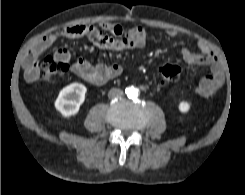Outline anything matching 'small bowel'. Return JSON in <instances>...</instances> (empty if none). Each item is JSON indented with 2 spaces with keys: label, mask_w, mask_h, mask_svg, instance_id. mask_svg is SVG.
I'll return each instance as SVG.
<instances>
[{
  "label": "small bowel",
  "mask_w": 245,
  "mask_h": 195,
  "mask_svg": "<svg viewBox=\"0 0 245 195\" xmlns=\"http://www.w3.org/2000/svg\"><path fill=\"white\" fill-rule=\"evenodd\" d=\"M168 35L175 37L177 32L170 30ZM60 37H88L96 46L116 51L143 48L147 41L146 32L141 27L124 30L121 25L116 23L67 26L58 32L45 35L27 52L23 59L24 74L27 81L33 82L38 79L39 70L36 59ZM197 46L199 52H192L187 47H183L181 55L183 60L191 67H210L211 74L203 77L195 88L199 96L208 98L213 96L223 85L224 72L217 56L204 41L198 40ZM55 55L64 61L70 59L69 52L64 48L59 49ZM71 71L91 84L102 85L119 76L122 67L119 64L107 65L100 63L92 65L83 57H78L72 64Z\"/></svg>",
  "instance_id": "obj_1"
}]
</instances>
